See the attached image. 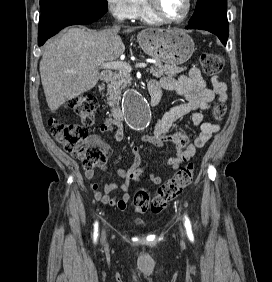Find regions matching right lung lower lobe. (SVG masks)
<instances>
[{"label": "right lung lower lobe", "instance_id": "1", "mask_svg": "<svg viewBox=\"0 0 272 282\" xmlns=\"http://www.w3.org/2000/svg\"><path fill=\"white\" fill-rule=\"evenodd\" d=\"M107 12V7L87 4H64L41 12L38 45L41 46L62 28L75 24H89Z\"/></svg>", "mask_w": 272, "mask_h": 282}]
</instances>
